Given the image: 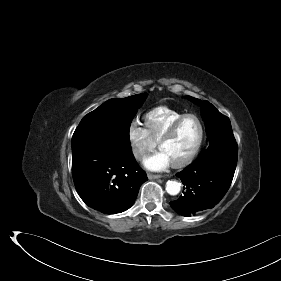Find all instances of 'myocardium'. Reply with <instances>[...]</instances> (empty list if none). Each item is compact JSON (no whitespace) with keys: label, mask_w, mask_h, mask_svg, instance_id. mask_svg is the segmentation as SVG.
Here are the masks:
<instances>
[{"label":"myocardium","mask_w":281,"mask_h":281,"mask_svg":"<svg viewBox=\"0 0 281 281\" xmlns=\"http://www.w3.org/2000/svg\"><path fill=\"white\" fill-rule=\"evenodd\" d=\"M190 117L195 118L199 124V129H200L199 138H198V141H197L195 147L187 156H185L183 159H181L179 161L172 163V165L176 168L184 167V166L190 164L195 159V157L198 155V153L202 147V144L204 141V135H205L204 125H203L201 118L194 113L183 114L169 126V128L166 130V132L162 135V137L158 141V147H159V149H161L162 146L174 136V134L176 133V131H177L178 127L181 125V123L185 119L190 118Z\"/></svg>","instance_id":"obj_1"}]
</instances>
